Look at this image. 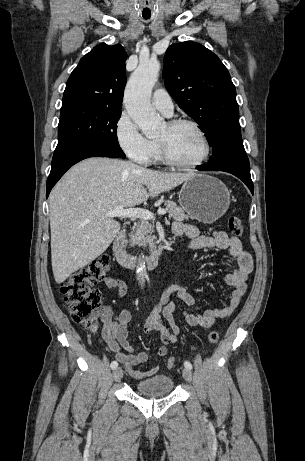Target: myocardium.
<instances>
[{
    "mask_svg": "<svg viewBox=\"0 0 305 461\" xmlns=\"http://www.w3.org/2000/svg\"><path fill=\"white\" fill-rule=\"evenodd\" d=\"M167 124L171 128H176L182 125H189L193 127L197 131L199 136L201 137V140L204 145V152L202 156L194 162H190V163L181 162L172 156L166 143H164L161 140H158V145H159V149H160V153H161V157L163 161L171 166L182 168V169H193V168H197L201 166L208 159L210 155V151H211L210 141L208 139L207 134L202 129V127L196 121L187 119V118L173 119V120H170Z\"/></svg>",
    "mask_w": 305,
    "mask_h": 461,
    "instance_id": "myocardium-1",
    "label": "myocardium"
}]
</instances>
